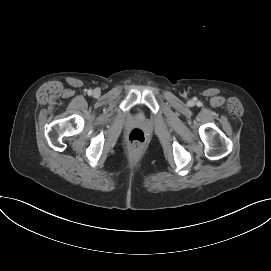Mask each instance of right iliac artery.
Returning <instances> with one entry per match:
<instances>
[{
    "label": "right iliac artery",
    "mask_w": 271,
    "mask_h": 271,
    "mask_svg": "<svg viewBox=\"0 0 271 271\" xmlns=\"http://www.w3.org/2000/svg\"><path fill=\"white\" fill-rule=\"evenodd\" d=\"M88 94L91 95V94H92V91H91V90H88Z\"/></svg>",
    "instance_id": "82829eb1"
}]
</instances>
